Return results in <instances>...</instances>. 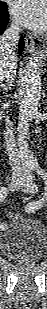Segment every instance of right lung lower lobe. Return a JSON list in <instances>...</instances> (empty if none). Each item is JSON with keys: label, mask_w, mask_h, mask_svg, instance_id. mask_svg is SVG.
Segmentation results:
<instances>
[{"label": "right lung lower lobe", "mask_w": 47, "mask_h": 309, "mask_svg": "<svg viewBox=\"0 0 47 309\" xmlns=\"http://www.w3.org/2000/svg\"><path fill=\"white\" fill-rule=\"evenodd\" d=\"M8 19H9L8 10H7L6 4L4 3V5H2L0 7V35L4 32L5 27H6L7 23H8ZM23 45H24V41L21 38L20 39V43H19V53L20 54L23 51V48H24Z\"/></svg>", "instance_id": "1"}]
</instances>
